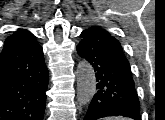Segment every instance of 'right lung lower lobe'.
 Segmentation results:
<instances>
[{"label":"right lung lower lobe","mask_w":165,"mask_h":120,"mask_svg":"<svg viewBox=\"0 0 165 120\" xmlns=\"http://www.w3.org/2000/svg\"><path fill=\"white\" fill-rule=\"evenodd\" d=\"M48 70L31 33L6 41L0 54V120H42Z\"/></svg>","instance_id":"1"}]
</instances>
